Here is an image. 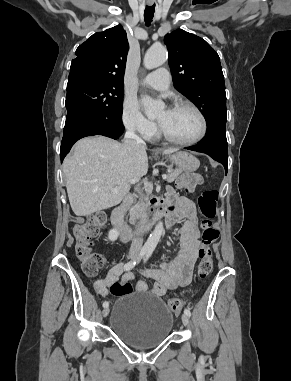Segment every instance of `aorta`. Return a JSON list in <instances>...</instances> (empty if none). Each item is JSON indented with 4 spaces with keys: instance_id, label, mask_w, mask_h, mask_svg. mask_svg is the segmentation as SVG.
Masks as SVG:
<instances>
[{
    "instance_id": "762f6f07",
    "label": "aorta",
    "mask_w": 291,
    "mask_h": 381,
    "mask_svg": "<svg viewBox=\"0 0 291 381\" xmlns=\"http://www.w3.org/2000/svg\"><path fill=\"white\" fill-rule=\"evenodd\" d=\"M168 57L167 49L163 46L151 47L144 56V66L147 69H154L161 66ZM142 104L145 107V114L148 118L156 117L161 109L163 108V103L155 101L149 96H143ZM164 228L163 223L158 222L155 226L153 232L150 234L146 241L145 246L151 250H154L163 234Z\"/></svg>"
}]
</instances>
